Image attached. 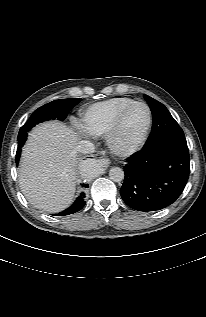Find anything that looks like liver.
<instances>
[{
  "instance_id": "liver-1",
  "label": "liver",
  "mask_w": 206,
  "mask_h": 317,
  "mask_svg": "<svg viewBox=\"0 0 206 317\" xmlns=\"http://www.w3.org/2000/svg\"><path fill=\"white\" fill-rule=\"evenodd\" d=\"M79 137L58 121L37 125L23 148L19 182L27 200L56 213L72 201L76 186V145Z\"/></svg>"
}]
</instances>
